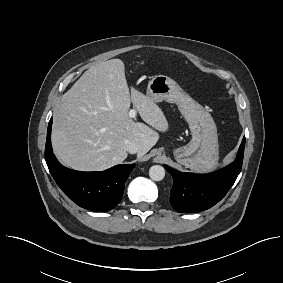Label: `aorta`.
<instances>
[{
  "label": "aorta",
  "instance_id": "obj_1",
  "mask_svg": "<svg viewBox=\"0 0 283 283\" xmlns=\"http://www.w3.org/2000/svg\"><path fill=\"white\" fill-rule=\"evenodd\" d=\"M149 176L154 181H161L165 177V169L160 165H154L149 169Z\"/></svg>",
  "mask_w": 283,
  "mask_h": 283
}]
</instances>
